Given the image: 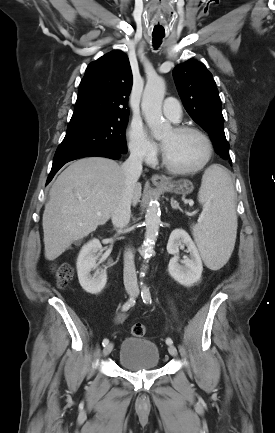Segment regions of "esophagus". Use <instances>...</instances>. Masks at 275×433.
Here are the masks:
<instances>
[{
  "label": "esophagus",
  "instance_id": "esophagus-1",
  "mask_svg": "<svg viewBox=\"0 0 275 433\" xmlns=\"http://www.w3.org/2000/svg\"><path fill=\"white\" fill-rule=\"evenodd\" d=\"M151 181L156 186H164V185L168 184V179L165 176H161L158 174H154L151 177Z\"/></svg>",
  "mask_w": 275,
  "mask_h": 433
}]
</instances>
